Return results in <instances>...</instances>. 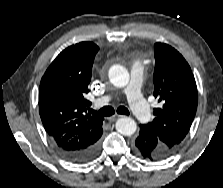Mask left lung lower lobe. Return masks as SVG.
<instances>
[{"label":"left lung lower lobe","mask_w":223,"mask_h":188,"mask_svg":"<svg viewBox=\"0 0 223 188\" xmlns=\"http://www.w3.org/2000/svg\"><path fill=\"white\" fill-rule=\"evenodd\" d=\"M134 150L139 156L150 160H161L171 155L159 143L157 137L144 125H140V132L135 141Z\"/></svg>","instance_id":"obj_1"}]
</instances>
